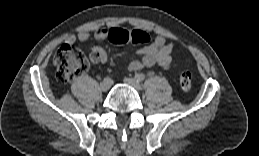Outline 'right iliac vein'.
I'll return each mask as SVG.
<instances>
[{
    "mask_svg": "<svg viewBox=\"0 0 259 156\" xmlns=\"http://www.w3.org/2000/svg\"><path fill=\"white\" fill-rule=\"evenodd\" d=\"M110 86H111V82L110 81L103 80L100 83V89L103 92H106L107 90H109Z\"/></svg>",
    "mask_w": 259,
    "mask_h": 156,
    "instance_id": "right-iliac-vein-1",
    "label": "right iliac vein"
}]
</instances>
